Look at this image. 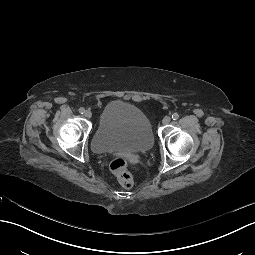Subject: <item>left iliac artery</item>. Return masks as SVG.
I'll return each mask as SVG.
<instances>
[{
  "label": "left iliac artery",
  "mask_w": 255,
  "mask_h": 255,
  "mask_svg": "<svg viewBox=\"0 0 255 255\" xmlns=\"http://www.w3.org/2000/svg\"><path fill=\"white\" fill-rule=\"evenodd\" d=\"M178 118H179V114L178 113L172 114V119L173 120H177Z\"/></svg>",
  "instance_id": "obj_1"
}]
</instances>
